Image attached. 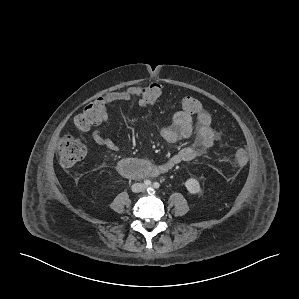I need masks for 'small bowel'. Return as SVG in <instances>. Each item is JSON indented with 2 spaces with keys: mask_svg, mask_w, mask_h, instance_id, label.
<instances>
[{
  "mask_svg": "<svg viewBox=\"0 0 299 299\" xmlns=\"http://www.w3.org/2000/svg\"><path fill=\"white\" fill-rule=\"evenodd\" d=\"M134 98L137 99V104L140 107H145L148 104L143 98L138 96L137 87H129L122 91L109 92L99 98L104 105L103 116L99 124L108 121L107 106L116 102H127ZM211 124V116L202 108L195 114H188L185 111L176 112L172 117L171 124L161 129V137L169 143H176L195 135V143L192 146L180 149L163 163L152 164L144 161L148 166V171L144 176L163 174L182 162L192 161L204 154L214 145V142L218 138ZM92 138L96 144L111 151H118L119 149L117 144L110 137L104 135L100 129L93 130Z\"/></svg>",
  "mask_w": 299,
  "mask_h": 299,
  "instance_id": "small-bowel-1",
  "label": "small bowel"
}]
</instances>
